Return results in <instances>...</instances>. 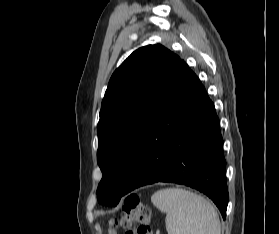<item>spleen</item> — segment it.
I'll return each instance as SVG.
<instances>
[{
	"mask_svg": "<svg viewBox=\"0 0 279 234\" xmlns=\"http://www.w3.org/2000/svg\"><path fill=\"white\" fill-rule=\"evenodd\" d=\"M152 203L166 213L168 234H221L215 207L204 197L180 188L155 192Z\"/></svg>",
	"mask_w": 279,
	"mask_h": 234,
	"instance_id": "1",
	"label": "spleen"
}]
</instances>
